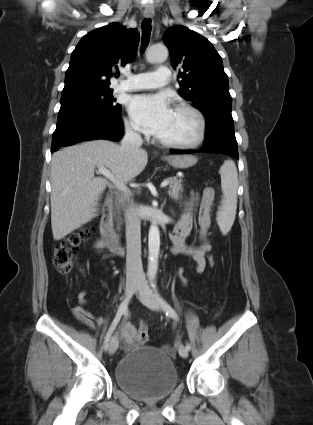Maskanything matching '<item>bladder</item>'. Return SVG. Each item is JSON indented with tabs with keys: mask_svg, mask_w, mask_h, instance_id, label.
Wrapping results in <instances>:
<instances>
[{
	"mask_svg": "<svg viewBox=\"0 0 313 425\" xmlns=\"http://www.w3.org/2000/svg\"><path fill=\"white\" fill-rule=\"evenodd\" d=\"M117 385L134 399L169 395L178 384L176 367L164 348L142 346L126 353L114 369Z\"/></svg>",
	"mask_w": 313,
	"mask_h": 425,
	"instance_id": "31cf9c89",
	"label": "bladder"
}]
</instances>
